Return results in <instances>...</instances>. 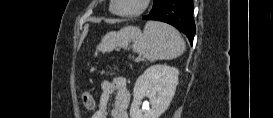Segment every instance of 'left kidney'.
I'll use <instances>...</instances> for the list:
<instances>
[{
	"label": "left kidney",
	"instance_id": "obj_1",
	"mask_svg": "<svg viewBox=\"0 0 273 118\" xmlns=\"http://www.w3.org/2000/svg\"><path fill=\"white\" fill-rule=\"evenodd\" d=\"M179 70L167 65L148 68L137 79L134 98L130 108L131 118H159L169 107L178 85ZM144 97L150 100L151 108L140 109Z\"/></svg>",
	"mask_w": 273,
	"mask_h": 118
}]
</instances>
